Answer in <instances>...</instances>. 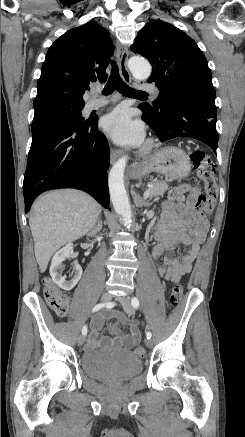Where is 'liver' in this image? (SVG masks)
Listing matches in <instances>:
<instances>
[{
  "instance_id": "obj_1",
  "label": "liver",
  "mask_w": 245,
  "mask_h": 437,
  "mask_svg": "<svg viewBox=\"0 0 245 437\" xmlns=\"http://www.w3.org/2000/svg\"><path fill=\"white\" fill-rule=\"evenodd\" d=\"M100 212V205L78 190H58L41 196L29 218L40 270H46L60 247L93 229Z\"/></svg>"
}]
</instances>
